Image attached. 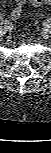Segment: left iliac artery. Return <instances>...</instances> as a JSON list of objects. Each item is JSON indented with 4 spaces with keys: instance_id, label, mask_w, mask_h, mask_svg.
<instances>
[{
    "instance_id": "obj_1",
    "label": "left iliac artery",
    "mask_w": 51,
    "mask_h": 153,
    "mask_svg": "<svg viewBox=\"0 0 51 153\" xmlns=\"http://www.w3.org/2000/svg\"><path fill=\"white\" fill-rule=\"evenodd\" d=\"M48 23H51V19H48Z\"/></svg>"
}]
</instances>
